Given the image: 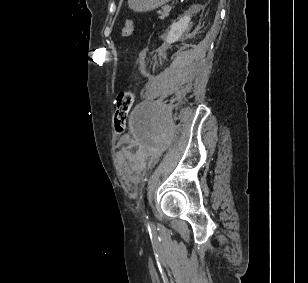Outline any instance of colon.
Returning <instances> with one entry per match:
<instances>
[{
  "label": "colon",
  "instance_id": "1",
  "mask_svg": "<svg viewBox=\"0 0 308 283\" xmlns=\"http://www.w3.org/2000/svg\"><path fill=\"white\" fill-rule=\"evenodd\" d=\"M134 31V22L128 20L121 29L123 37L130 36ZM135 94L133 91H124L117 95L115 101V110L113 114L114 126L117 132L125 130L130 110L134 104Z\"/></svg>",
  "mask_w": 308,
  "mask_h": 283
}]
</instances>
